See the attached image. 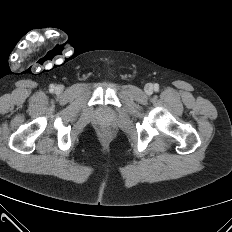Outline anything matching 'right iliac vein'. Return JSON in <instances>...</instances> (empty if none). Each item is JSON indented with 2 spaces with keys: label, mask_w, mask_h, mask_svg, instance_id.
<instances>
[{
  "label": "right iliac vein",
  "mask_w": 232,
  "mask_h": 232,
  "mask_svg": "<svg viewBox=\"0 0 232 232\" xmlns=\"http://www.w3.org/2000/svg\"><path fill=\"white\" fill-rule=\"evenodd\" d=\"M55 90L57 93H60L62 92L63 88L61 86H57Z\"/></svg>",
  "instance_id": "1"
}]
</instances>
